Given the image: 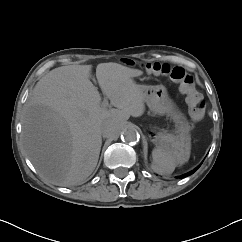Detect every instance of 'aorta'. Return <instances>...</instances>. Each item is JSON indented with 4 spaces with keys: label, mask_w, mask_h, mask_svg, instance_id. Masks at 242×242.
Returning <instances> with one entry per match:
<instances>
[{
    "label": "aorta",
    "mask_w": 242,
    "mask_h": 242,
    "mask_svg": "<svg viewBox=\"0 0 242 242\" xmlns=\"http://www.w3.org/2000/svg\"><path fill=\"white\" fill-rule=\"evenodd\" d=\"M122 138L126 142L135 143L139 140L140 135L136 128L127 127L122 133Z\"/></svg>",
    "instance_id": "obj_1"
}]
</instances>
